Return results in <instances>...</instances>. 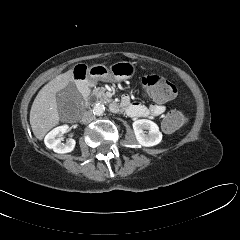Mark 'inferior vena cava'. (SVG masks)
<instances>
[{"label": "inferior vena cava", "mask_w": 240, "mask_h": 240, "mask_svg": "<svg viewBox=\"0 0 240 240\" xmlns=\"http://www.w3.org/2000/svg\"><path fill=\"white\" fill-rule=\"evenodd\" d=\"M94 117L95 116H94L93 112L91 110H89L83 114L81 121L83 124H88L94 119Z\"/></svg>", "instance_id": "1"}]
</instances>
